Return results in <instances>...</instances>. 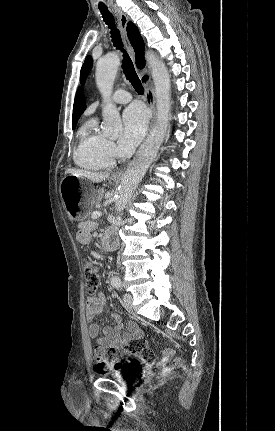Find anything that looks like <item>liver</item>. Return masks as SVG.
Masks as SVG:
<instances>
[{"label":"liver","instance_id":"1","mask_svg":"<svg viewBox=\"0 0 275 431\" xmlns=\"http://www.w3.org/2000/svg\"><path fill=\"white\" fill-rule=\"evenodd\" d=\"M65 174L75 175L77 177L87 178L94 183H99L106 180L109 177V173H95L85 170L67 169Z\"/></svg>","mask_w":275,"mask_h":431}]
</instances>
